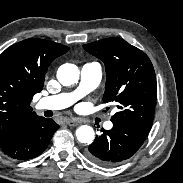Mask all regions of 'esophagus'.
<instances>
[{
  "instance_id": "obj_1",
  "label": "esophagus",
  "mask_w": 183,
  "mask_h": 183,
  "mask_svg": "<svg viewBox=\"0 0 183 183\" xmlns=\"http://www.w3.org/2000/svg\"><path fill=\"white\" fill-rule=\"evenodd\" d=\"M81 122L82 121L81 120H78V119H68V120H66V124L68 126H77Z\"/></svg>"
}]
</instances>
